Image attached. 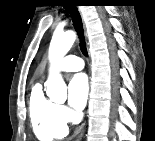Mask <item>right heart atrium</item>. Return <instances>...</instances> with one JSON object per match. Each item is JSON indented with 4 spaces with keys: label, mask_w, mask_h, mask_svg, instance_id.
Listing matches in <instances>:
<instances>
[{
    "label": "right heart atrium",
    "mask_w": 155,
    "mask_h": 141,
    "mask_svg": "<svg viewBox=\"0 0 155 141\" xmlns=\"http://www.w3.org/2000/svg\"><path fill=\"white\" fill-rule=\"evenodd\" d=\"M59 113L62 120L66 123L76 121L77 119V115L64 106H59Z\"/></svg>",
    "instance_id": "d8ad5b80"
}]
</instances>
